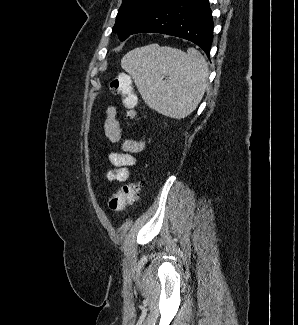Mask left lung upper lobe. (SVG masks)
<instances>
[{
	"label": "left lung upper lobe",
	"mask_w": 298,
	"mask_h": 325,
	"mask_svg": "<svg viewBox=\"0 0 298 325\" xmlns=\"http://www.w3.org/2000/svg\"><path fill=\"white\" fill-rule=\"evenodd\" d=\"M164 0H123L116 17L113 32L119 38H128L132 31Z\"/></svg>",
	"instance_id": "5c2ea615"
}]
</instances>
